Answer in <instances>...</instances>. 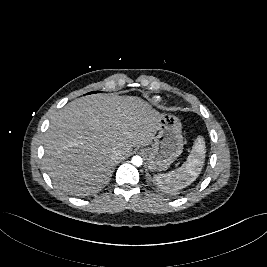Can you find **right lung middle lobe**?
Here are the masks:
<instances>
[{
  "label": "right lung middle lobe",
  "instance_id": "right-lung-middle-lobe-1",
  "mask_svg": "<svg viewBox=\"0 0 267 267\" xmlns=\"http://www.w3.org/2000/svg\"><path fill=\"white\" fill-rule=\"evenodd\" d=\"M91 93H97V91H94V92H90V93H88V94H91Z\"/></svg>",
  "mask_w": 267,
  "mask_h": 267
}]
</instances>
